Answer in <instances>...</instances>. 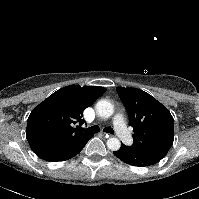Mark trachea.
<instances>
[{
  "label": "trachea",
  "mask_w": 199,
  "mask_h": 199,
  "mask_svg": "<svg viewBox=\"0 0 199 199\" xmlns=\"http://www.w3.org/2000/svg\"><path fill=\"white\" fill-rule=\"evenodd\" d=\"M82 131H84L86 133L93 134V133H98L100 131V128L97 125H95V126L87 128V129H82ZM103 131L107 132V133H110V134L114 133V131H113V129L111 127H106V128H104Z\"/></svg>",
  "instance_id": "trachea-1"
}]
</instances>
